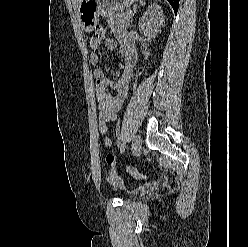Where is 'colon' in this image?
Instances as JSON below:
<instances>
[{
  "label": "colon",
  "instance_id": "colon-1",
  "mask_svg": "<svg viewBox=\"0 0 248 247\" xmlns=\"http://www.w3.org/2000/svg\"><path fill=\"white\" fill-rule=\"evenodd\" d=\"M95 36L97 38H104L105 32L104 29L100 26H98L95 30ZM115 138H116V144L119 147L122 139V130L120 122L118 121L115 125ZM123 164L130 175L137 179H145L147 176L145 174L140 173L136 168H134L130 163L127 162L126 159H123Z\"/></svg>",
  "mask_w": 248,
  "mask_h": 247
}]
</instances>
